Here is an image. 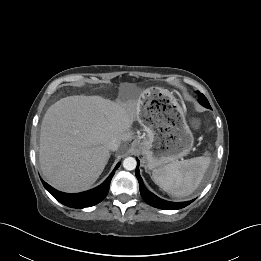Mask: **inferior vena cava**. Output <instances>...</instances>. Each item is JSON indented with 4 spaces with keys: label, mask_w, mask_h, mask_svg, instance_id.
I'll list each match as a JSON object with an SVG mask.
<instances>
[{
    "label": "inferior vena cava",
    "mask_w": 261,
    "mask_h": 261,
    "mask_svg": "<svg viewBox=\"0 0 261 261\" xmlns=\"http://www.w3.org/2000/svg\"><path fill=\"white\" fill-rule=\"evenodd\" d=\"M120 145V141L116 138L111 139L108 144L107 147L110 151H117L118 147Z\"/></svg>",
    "instance_id": "1"
}]
</instances>
